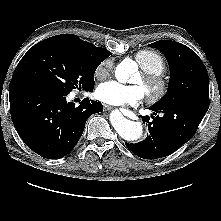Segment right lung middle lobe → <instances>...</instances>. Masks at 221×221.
<instances>
[{"label": "right lung middle lobe", "mask_w": 221, "mask_h": 221, "mask_svg": "<svg viewBox=\"0 0 221 221\" xmlns=\"http://www.w3.org/2000/svg\"><path fill=\"white\" fill-rule=\"evenodd\" d=\"M101 61L72 43L50 37L35 44L18 63L12 79H22L69 94L75 88H94V73Z\"/></svg>", "instance_id": "1"}]
</instances>
